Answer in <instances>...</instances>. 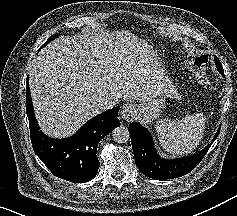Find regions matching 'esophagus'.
I'll list each match as a JSON object with an SVG mask.
<instances>
[{
    "instance_id": "34e87169",
    "label": "esophagus",
    "mask_w": 237,
    "mask_h": 216,
    "mask_svg": "<svg viewBox=\"0 0 237 216\" xmlns=\"http://www.w3.org/2000/svg\"><path fill=\"white\" fill-rule=\"evenodd\" d=\"M136 113V107L132 103H126L121 109V117L123 120H131Z\"/></svg>"
}]
</instances>
